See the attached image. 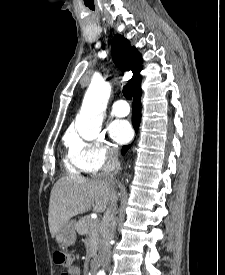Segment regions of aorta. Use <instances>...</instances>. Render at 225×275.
<instances>
[{
	"label": "aorta",
	"instance_id": "aorta-1",
	"mask_svg": "<svg viewBox=\"0 0 225 275\" xmlns=\"http://www.w3.org/2000/svg\"><path fill=\"white\" fill-rule=\"evenodd\" d=\"M111 86L102 79H93L86 91L79 114L76 117L75 128L85 140L97 137L101 130L102 114L107 107ZM98 275H104L100 271Z\"/></svg>",
	"mask_w": 225,
	"mask_h": 275
}]
</instances>
